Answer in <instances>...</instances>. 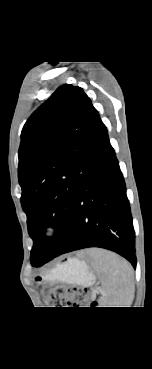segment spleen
<instances>
[{"instance_id": "obj_1", "label": "spleen", "mask_w": 152, "mask_h": 369, "mask_svg": "<svg viewBox=\"0 0 152 369\" xmlns=\"http://www.w3.org/2000/svg\"><path fill=\"white\" fill-rule=\"evenodd\" d=\"M91 258L105 286L99 299L101 305L130 307L134 292L131 265L117 254L101 249H92Z\"/></svg>"}]
</instances>
